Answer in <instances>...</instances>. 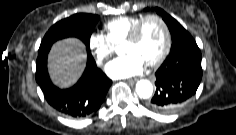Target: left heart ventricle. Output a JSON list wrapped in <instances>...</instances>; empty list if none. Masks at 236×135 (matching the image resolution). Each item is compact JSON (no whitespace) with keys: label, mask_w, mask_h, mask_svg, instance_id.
Here are the masks:
<instances>
[{"label":"left heart ventricle","mask_w":236,"mask_h":135,"mask_svg":"<svg viewBox=\"0 0 236 135\" xmlns=\"http://www.w3.org/2000/svg\"><path fill=\"white\" fill-rule=\"evenodd\" d=\"M164 42L165 35L161 24L155 19H148L144 22L137 41L123 45V52L135 53L147 64L158 58Z\"/></svg>","instance_id":"b2bd125f"}]
</instances>
